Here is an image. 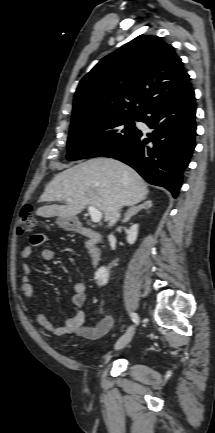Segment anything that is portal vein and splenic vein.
<instances>
[{
	"mask_svg": "<svg viewBox=\"0 0 215 433\" xmlns=\"http://www.w3.org/2000/svg\"><path fill=\"white\" fill-rule=\"evenodd\" d=\"M67 202H71V199H66ZM88 212L91 216V220L94 223H98L102 219V213L94 206H88Z\"/></svg>",
	"mask_w": 215,
	"mask_h": 433,
	"instance_id": "18ae733b",
	"label": "portal vein and splenic vein"
}]
</instances>
